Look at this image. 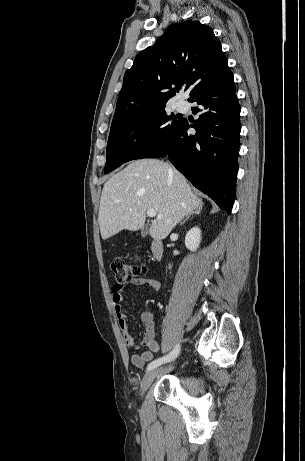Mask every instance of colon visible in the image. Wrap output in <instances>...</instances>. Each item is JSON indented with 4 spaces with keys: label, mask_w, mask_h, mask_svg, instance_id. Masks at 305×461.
Segmentation results:
<instances>
[{
    "label": "colon",
    "mask_w": 305,
    "mask_h": 461,
    "mask_svg": "<svg viewBox=\"0 0 305 461\" xmlns=\"http://www.w3.org/2000/svg\"><path fill=\"white\" fill-rule=\"evenodd\" d=\"M111 269L119 282L130 281L145 271L144 266L130 263L123 258H114L111 261Z\"/></svg>",
    "instance_id": "colon-1"
}]
</instances>
